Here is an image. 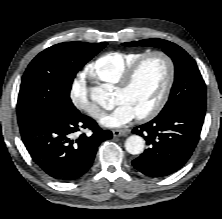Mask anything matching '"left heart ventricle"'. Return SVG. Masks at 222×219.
Here are the masks:
<instances>
[{"instance_id": "b2bd125f", "label": "left heart ventricle", "mask_w": 222, "mask_h": 219, "mask_svg": "<svg viewBox=\"0 0 222 219\" xmlns=\"http://www.w3.org/2000/svg\"><path fill=\"white\" fill-rule=\"evenodd\" d=\"M167 79V67L158 56L149 57L139 68L126 90L116 89L115 104L127 103L137 115L151 109L158 101Z\"/></svg>"}]
</instances>
